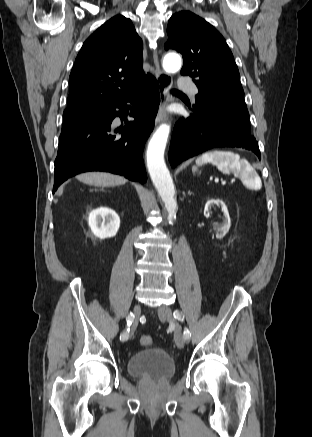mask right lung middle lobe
Instances as JSON below:
<instances>
[{
  "instance_id": "right-lung-middle-lobe-1",
  "label": "right lung middle lobe",
  "mask_w": 312,
  "mask_h": 437,
  "mask_svg": "<svg viewBox=\"0 0 312 437\" xmlns=\"http://www.w3.org/2000/svg\"><path fill=\"white\" fill-rule=\"evenodd\" d=\"M103 114V109L64 111L62 132L71 130Z\"/></svg>"
}]
</instances>
